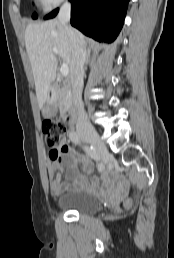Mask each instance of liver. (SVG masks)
I'll use <instances>...</instances> for the list:
<instances>
[{"label":"liver","instance_id":"liver-1","mask_svg":"<svg viewBox=\"0 0 174 258\" xmlns=\"http://www.w3.org/2000/svg\"><path fill=\"white\" fill-rule=\"evenodd\" d=\"M73 31L85 48L84 36L75 29ZM25 45L35 80L38 105L42 109L51 84L56 79L58 61L53 49L56 48L59 57L70 66L72 59L70 41L64 26L54 19L40 24H29L25 29Z\"/></svg>","mask_w":174,"mask_h":258}]
</instances>
